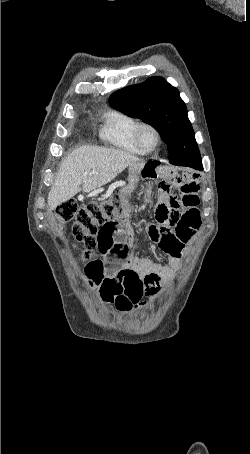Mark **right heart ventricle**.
I'll return each instance as SVG.
<instances>
[{
	"label": "right heart ventricle",
	"mask_w": 250,
	"mask_h": 454,
	"mask_svg": "<svg viewBox=\"0 0 250 454\" xmlns=\"http://www.w3.org/2000/svg\"><path fill=\"white\" fill-rule=\"evenodd\" d=\"M138 120L121 111H109L99 130L100 138L122 151L143 155L144 152L136 144L134 138L135 128Z\"/></svg>",
	"instance_id": "e07e8e85"
}]
</instances>
